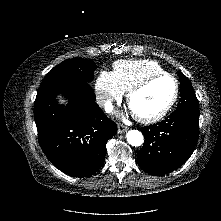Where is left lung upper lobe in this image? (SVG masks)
<instances>
[{
	"label": "left lung upper lobe",
	"instance_id": "5c2ea615",
	"mask_svg": "<svg viewBox=\"0 0 221 221\" xmlns=\"http://www.w3.org/2000/svg\"><path fill=\"white\" fill-rule=\"evenodd\" d=\"M178 73L181 82V92H180L181 98L177 108H182V107L199 108L198 100L190 80L183 73L181 72Z\"/></svg>",
	"mask_w": 221,
	"mask_h": 221
}]
</instances>
